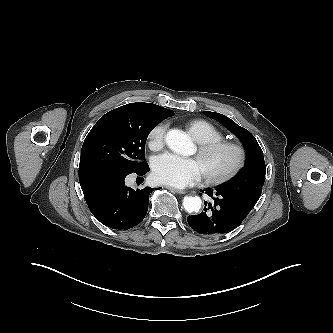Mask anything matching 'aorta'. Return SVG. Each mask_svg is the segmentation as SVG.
Returning a JSON list of instances; mask_svg holds the SVG:
<instances>
[{"mask_svg": "<svg viewBox=\"0 0 333 333\" xmlns=\"http://www.w3.org/2000/svg\"><path fill=\"white\" fill-rule=\"evenodd\" d=\"M165 142L172 151L178 154L188 155L193 149L191 139L185 132L178 129L169 130L166 134ZM201 205L202 200L198 196L185 197L183 199L184 209L188 213L199 212Z\"/></svg>", "mask_w": 333, "mask_h": 333, "instance_id": "1", "label": "aorta"}]
</instances>
